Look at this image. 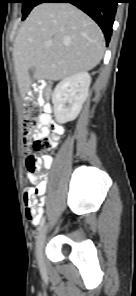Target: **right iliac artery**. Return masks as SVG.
Listing matches in <instances>:
<instances>
[{
	"label": "right iliac artery",
	"instance_id": "right-iliac-artery-1",
	"mask_svg": "<svg viewBox=\"0 0 136 296\" xmlns=\"http://www.w3.org/2000/svg\"><path fill=\"white\" fill-rule=\"evenodd\" d=\"M45 222H46V219L45 218H42V220H41V223H40V225H39V227H38V232H40L41 231V229H42V227H43V225H45Z\"/></svg>",
	"mask_w": 136,
	"mask_h": 296
}]
</instances>
